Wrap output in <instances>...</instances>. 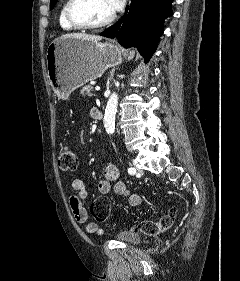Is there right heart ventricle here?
Segmentation results:
<instances>
[{"mask_svg": "<svg viewBox=\"0 0 240 281\" xmlns=\"http://www.w3.org/2000/svg\"><path fill=\"white\" fill-rule=\"evenodd\" d=\"M66 4H67V1H65L61 6V9L59 12V25L61 26L62 29L66 30V31H73V30H76L77 28H75L71 24H69V22L66 19V16H65Z\"/></svg>", "mask_w": 240, "mask_h": 281, "instance_id": "right-heart-ventricle-1", "label": "right heart ventricle"}]
</instances>
